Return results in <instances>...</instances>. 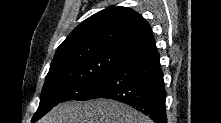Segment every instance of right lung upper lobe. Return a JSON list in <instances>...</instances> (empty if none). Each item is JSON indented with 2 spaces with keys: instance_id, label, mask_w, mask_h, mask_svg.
I'll return each mask as SVG.
<instances>
[{
  "instance_id": "cb5924a9",
  "label": "right lung upper lobe",
  "mask_w": 221,
  "mask_h": 123,
  "mask_svg": "<svg viewBox=\"0 0 221 123\" xmlns=\"http://www.w3.org/2000/svg\"><path fill=\"white\" fill-rule=\"evenodd\" d=\"M96 48L130 56L156 47L150 25L141 15L127 7L111 6L78 25L58 47L54 58Z\"/></svg>"
}]
</instances>
